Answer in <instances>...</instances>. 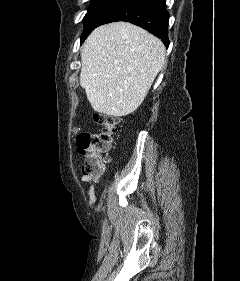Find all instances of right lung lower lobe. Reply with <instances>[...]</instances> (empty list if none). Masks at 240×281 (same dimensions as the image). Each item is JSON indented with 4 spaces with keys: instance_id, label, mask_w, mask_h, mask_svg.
Wrapping results in <instances>:
<instances>
[{
    "instance_id": "right-lung-lower-lobe-1",
    "label": "right lung lower lobe",
    "mask_w": 240,
    "mask_h": 281,
    "mask_svg": "<svg viewBox=\"0 0 240 281\" xmlns=\"http://www.w3.org/2000/svg\"><path fill=\"white\" fill-rule=\"evenodd\" d=\"M165 2L166 0H120L102 17L96 27L115 21L130 22L148 30L168 47L169 13Z\"/></svg>"
}]
</instances>
